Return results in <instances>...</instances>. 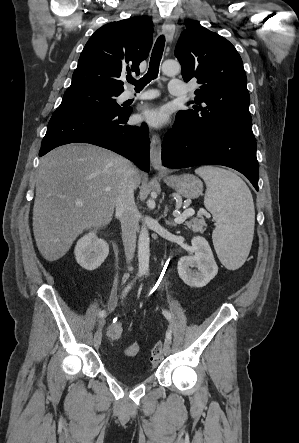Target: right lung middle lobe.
<instances>
[{"mask_svg": "<svg viewBox=\"0 0 299 443\" xmlns=\"http://www.w3.org/2000/svg\"><path fill=\"white\" fill-rule=\"evenodd\" d=\"M115 93L89 87H69L61 102L62 106L95 109L104 112L119 111L122 108L116 103Z\"/></svg>", "mask_w": 299, "mask_h": 443, "instance_id": "right-lung-middle-lobe-1", "label": "right lung middle lobe"}]
</instances>
